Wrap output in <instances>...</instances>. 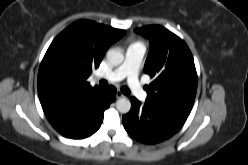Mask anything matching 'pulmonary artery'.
Masks as SVG:
<instances>
[{
	"mask_svg": "<svg viewBox=\"0 0 248 165\" xmlns=\"http://www.w3.org/2000/svg\"><path fill=\"white\" fill-rule=\"evenodd\" d=\"M145 52L146 48L143 44L132 43L126 50L123 63L102 77L110 82H118L126 78L133 94L141 101L146 100L147 93L138 79L139 66Z\"/></svg>",
	"mask_w": 248,
	"mask_h": 165,
	"instance_id": "e3ab8cb5",
	"label": "pulmonary artery"
}]
</instances>
